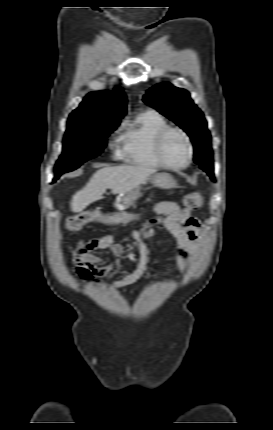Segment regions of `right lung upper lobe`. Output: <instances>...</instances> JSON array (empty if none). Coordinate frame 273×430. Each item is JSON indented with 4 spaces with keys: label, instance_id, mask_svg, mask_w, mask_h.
<instances>
[{
    "label": "right lung upper lobe",
    "instance_id": "1",
    "mask_svg": "<svg viewBox=\"0 0 273 430\" xmlns=\"http://www.w3.org/2000/svg\"><path fill=\"white\" fill-rule=\"evenodd\" d=\"M127 99L121 88L89 93L70 114L88 120L119 121L126 113Z\"/></svg>",
    "mask_w": 273,
    "mask_h": 430
}]
</instances>
